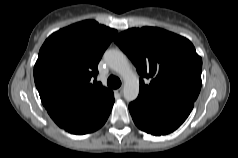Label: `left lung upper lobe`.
<instances>
[{
  "label": "left lung upper lobe",
  "instance_id": "obj_1",
  "mask_svg": "<svg viewBox=\"0 0 238 158\" xmlns=\"http://www.w3.org/2000/svg\"><path fill=\"white\" fill-rule=\"evenodd\" d=\"M114 41L141 75L137 99L151 105L197 99L202 59L188 39L160 28L143 27L126 30ZM144 78L150 83L145 84Z\"/></svg>",
  "mask_w": 238,
  "mask_h": 158
}]
</instances>
